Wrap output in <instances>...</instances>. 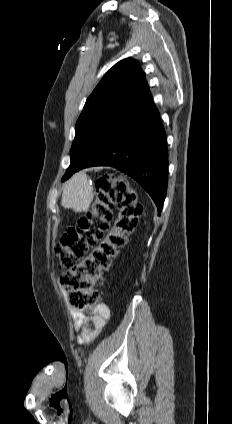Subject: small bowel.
I'll use <instances>...</instances> for the list:
<instances>
[{"label": "small bowel", "instance_id": "1", "mask_svg": "<svg viewBox=\"0 0 232 424\" xmlns=\"http://www.w3.org/2000/svg\"><path fill=\"white\" fill-rule=\"evenodd\" d=\"M74 327L80 332L79 342L88 345L96 340L110 318V311L105 303H98L90 310L71 312Z\"/></svg>", "mask_w": 232, "mask_h": 424}]
</instances>
